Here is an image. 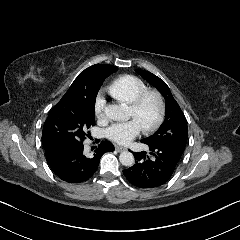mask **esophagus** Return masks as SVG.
I'll use <instances>...</instances> for the list:
<instances>
[{"label":"esophagus","mask_w":240,"mask_h":240,"mask_svg":"<svg viewBox=\"0 0 240 240\" xmlns=\"http://www.w3.org/2000/svg\"><path fill=\"white\" fill-rule=\"evenodd\" d=\"M115 149H116L118 152H123V151H126V150H127L126 147L119 146V145L115 146Z\"/></svg>","instance_id":"esophagus-1"}]
</instances>
